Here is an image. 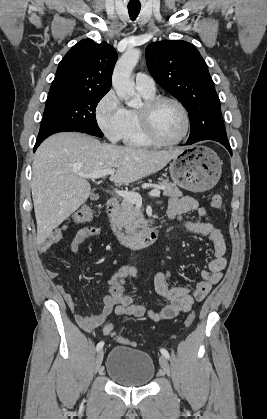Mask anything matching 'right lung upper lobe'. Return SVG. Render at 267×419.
Segmentation results:
<instances>
[{"label": "right lung upper lobe", "instance_id": "obj_1", "mask_svg": "<svg viewBox=\"0 0 267 419\" xmlns=\"http://www.w3.org/2000/svg\"><path fill=\"white\" fill-rule=\"evenodd\" d=\"M117 52L108 43L85 39L73 46L59 63L49 93H107Z\"/></svg>", "mask_w": 267, "mask_h": 419}]
</instances>
